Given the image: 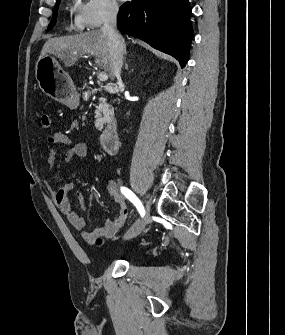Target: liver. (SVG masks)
<instances>
[{"label":"liver","mask_w":285,"mask_h":335,"mask_svg":"<svg viewBox=\"0 0 285 335\" xmlns=\"http://www.w3.org/2000/svg\"><path fill=\"white\" fill-rule=\"evenodd\" d=\"M48 54L59 58L65 66H73L81 56H94L96 66L107 72L110 80H114L110 42L107 34L101 30H92L76 36L50 38L45 42L40 58Z\"/></svg>","instance_id":"1"}]
</instances>
